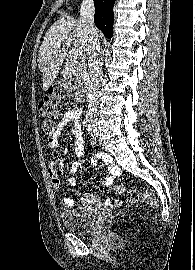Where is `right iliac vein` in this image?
<instances>
[{
    "label": "right iliac vein",
    "mask_w": 195,
    "mask_h": 270,
    "mask_svg": "<svg viewBox=\"0 0 195 270\" xmlns=\"http://www.w3.org/2000/svg\"><path fill=\"white\" fill-rule=\"evenodd\" d=\"M92 137L94 138V139H96L97 137H98V132H92Z\"/></svg>",
    "instance_id": "1"
}]
</instances>
